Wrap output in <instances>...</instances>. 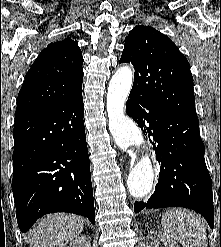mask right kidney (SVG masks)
Here are the masks:
<instances>
[{
  "mask_svg": "<svg viewBox=\"0 0 221 247\" xmlns=\"http://www.w3.org/2000/svg\"><path fill=\"white\" fill-rule=\"evenodd\" d=\"M67 247H91V238L89 235H83L71 240Z\"/></svg>",
  "mask_w": 221,
  "mask_h": 247,
  "instance_id": "1",
  "label": "right kidney"
}]
</instances>
